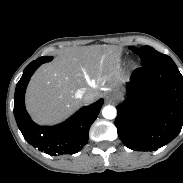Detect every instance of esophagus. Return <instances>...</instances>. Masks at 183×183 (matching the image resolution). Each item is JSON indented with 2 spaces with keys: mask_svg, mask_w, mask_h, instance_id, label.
<instances>
[{
  "mask_svg": "<svg viewBox=\"0 0 183 183\" xmlns=\"http://www.w3.org/2000/svg\"><path fill=\"white\" fill-rule=\"evenodd\" d=\"M106 100L110 102V101L112 100V97L109 96V95H107V96H106Z\"/></svg>",
  "mask_w": 183,
  "mask_h": 183,
  "instance_id": "obj_1",
  "label": "esophagus"
}]
</instances>
